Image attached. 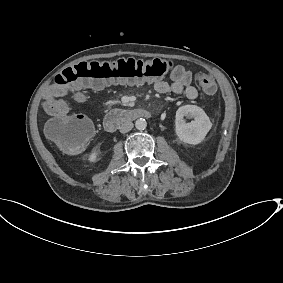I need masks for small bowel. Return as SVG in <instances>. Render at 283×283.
<instances>
[{
    "mask_svg": "<svg viewBox=\"0 0 283 283\" xmlns=\"http://www.w3.org/2000/svg\"><path fill=\"white\" fill-rule=\"evenodd\" d=\"M171 82L155 80L153 87L161 94L183 93L188 99L193 100L198 96L197 89L191 84L192 73L181 65L175 66L170 73ZM70 91L68 86H60L56 83L50 85L44 93V110L54 118H61L67 115L69 109L62 97Z\"/></svg>",
    "mask_w": 283,
    "mask_h": 283,
    "instance_id": "c3829d8e",
    "label": "small bowel"
}]
</instances>
